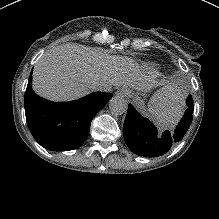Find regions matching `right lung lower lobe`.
Segmentation results:
<instances>
[{
    "mask_svg": "<svg viewBox=\"0 0 219 219\" xmlns=\"http://www.w3.org/2000/svg\"><path fill=\"white\" fill-rule=\"evenodd\" d=\"M31 79L25 92V114L34 138L49 150L79 147L88 136L93 117L112 95L95 92L76 101L51 102L35 94Z\"/></svg>",
    "mask_w": 219,
    "mask_h": 219,
    "instance_id": "1",
    "label": "right lung lower lobe"
}]
</instances>
